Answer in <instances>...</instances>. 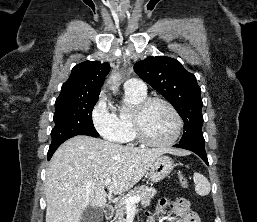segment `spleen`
Wrapping results in <instances>:
<instances>
[{"mask_svg": "<svg viewBox=\"0 0 257 222\" xmlns=\"http://www.w3.org/2000/svg\"><path fill=\"white\" fill-rule=\"evenodd\" d=\"M195 191L200 196H205L210 193L211 186L208 179L200 173H194Z\"/></svg>", "mask_w": 257, "mask_h": 222, "instance_id": "obj_1", "label": "spleen"}]
</instances>
